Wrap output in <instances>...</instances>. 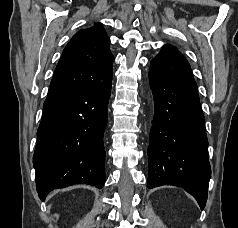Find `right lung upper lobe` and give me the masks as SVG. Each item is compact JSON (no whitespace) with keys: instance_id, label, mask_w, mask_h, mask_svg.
<instances>
[{"instance_id":"1","label":"right lung upper lobe","mask_w":238,"mask_h":228,"mask_svg":"<svg viewBox=\"0 0 238 228\" xmlns=\"http://www.w3.org/2000/svg\"><path fill=\"white\" fill-rule=\"evenodd\" d=\"M109 43L101 23L77 32L62 53L48 96L86 88L103 80L114 60Z\"/></svg>"}]
</instances>
